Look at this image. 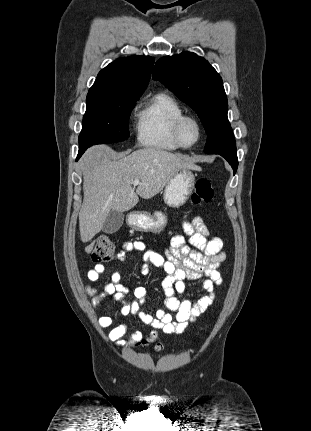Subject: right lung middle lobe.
Instances as JSON below:
<instances>
[{
  "mask_svg": "<svg viewBox=\"0 0 311 431\" xmlns=\"http://www.w3.org/2000/svg\"><path fill=\"white\" fill-rule=\"evenodd\" d=\"M139 97L87 94L79 148L126 140L129 137L127 121Z\"/></svg>",
  "mask_w": 311,
  "mask_h": 431,
  "instance_id": "1",
  "label": "right lung middle lobe"
}]
</instances>
